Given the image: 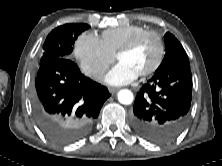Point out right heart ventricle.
Here are the masks:
<instances>
[{"instance_id":"right-heart-ventricle-1","label":"right heart ventricle","mask_w":222,"mask_h":166,"mask_svg":"<svg viewBox=\"0 0 222 166\" xmlns=\"http://www.w3.org/2000/svg\"><path fill=\"white\" fill-rule=\"evenodd\" d=\"M147 31L143 26L125 25L107 29L101 34V41L105 48L113 55L128 44L137 35Z\"/></svg>"}]
</instances>
